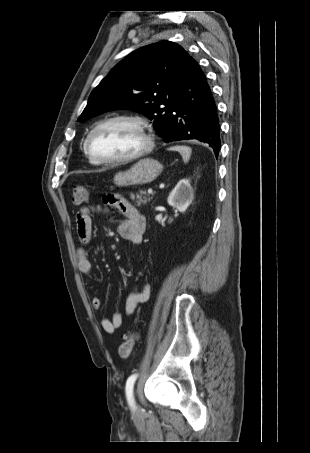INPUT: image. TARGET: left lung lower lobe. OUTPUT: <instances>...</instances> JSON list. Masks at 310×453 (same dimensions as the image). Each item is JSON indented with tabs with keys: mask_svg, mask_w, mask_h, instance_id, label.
<instances>
[{
	"mask_svg": "<svg viewBox=\"0 0 310 453\" xmlns=\"http://www.w3.org/2000/svg\"><path fill=\"white\" fill-rule=\"evenodd\" d=\"M159 135L165 142L198 140L212 147L216 157L219 154L221 143L217 107L207 79L193 58L186 80Z\"/></svg>",
	"mask_w": 310,
	"mask_h": 453,
	"instance_id": "obj_1",
	"label": "left lung lower lobe"
}]
</instances>
